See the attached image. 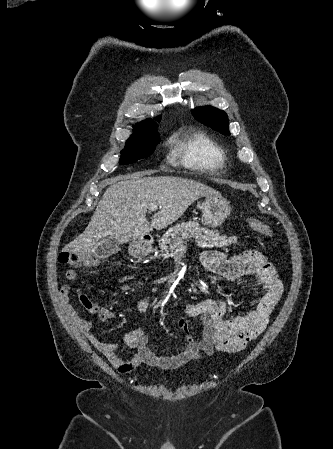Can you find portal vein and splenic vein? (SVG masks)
I'll return each instance as SVG.
<instances>
[{
  "label": "portal vein and splenic vein",
  "instance_id": "1",
  "mask_svg": "<svg viewBox=\"0 0 333 449\" xmlns=\"http://www.w3.org/2000/svg\"><path fill=\"white\" fill-rule=\"evenodd\" d=\"M158 209V206H152V207H150V209L149 210H151V211H155V210H157Z\"/></svg>",
  "mask_w": 333,
  "mask_h": 449
}]
</instances>
